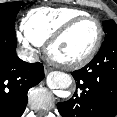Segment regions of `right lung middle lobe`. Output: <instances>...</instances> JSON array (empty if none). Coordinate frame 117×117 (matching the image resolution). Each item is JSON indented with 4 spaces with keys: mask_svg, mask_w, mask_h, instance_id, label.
<instances>
[{
    "mask_svg": "<svg viewBox=\"0 0 117 117\" xmlns=\"http://www.w3.org/2000/svg\"><path fill=\"white\" fill-rule=\"evenodd\" d=\"M21 6L25 4L21 1L8 2L0 4V23L15 24L16 15L18 14Z\"/></svg>",
    "mask_w": 117,
    "mask_h": 117,
    "instance_id": "obj_1",
    "label": "right lung middle lobe"
}]
</instances>
